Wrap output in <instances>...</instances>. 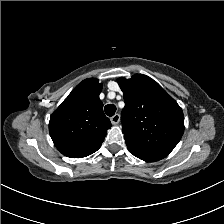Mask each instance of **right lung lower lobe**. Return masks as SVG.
Instances as JSON below:
<instances>
[{"instance_id": "obj_1", "label": "right lung lower lobe", "mask_w": 224, "mask_h": 224, "mask_svg": "<svg viewBox=\"0 0 224 224\" xmlns=\"http://www.w3.org/2000/svg\"><path fill=\"white\" fill-rule=\"evenodd\" d=\"M57 149L65 156L72 158L85 157L83 153L79 151L77 145L67 140H55L53 141Z\"/></svg>"}]
</instances>
